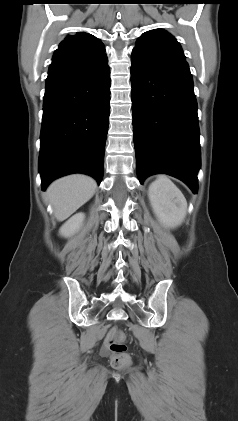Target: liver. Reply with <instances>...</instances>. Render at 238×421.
<instances>
[{
	"label": "liver",
	"mask_w": 238,
	"mask_h": 421,
	"mask_svg": "<svg viewBox=\"0 0 238 421\" xmlns=\"http://www.w3.org/2000/svg\"><path fill=\"white\" fill-rule=\"evenodd\" d=\"M96 181L86 175L73 174L55 180L46 196L58 221H63L85 204L95 193Z\"/></svg>",
	"instance_id": "liver-1"
}]
</instances>
